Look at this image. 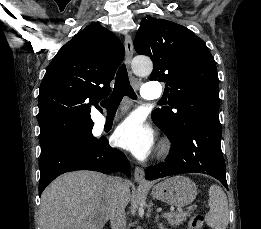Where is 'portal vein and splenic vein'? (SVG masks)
Instances as JSON below:
<instances>
[{"instance_id":"obj_1","label":"portal vein and splenic vein","mask_w":261,"mask_h":229,"mask_svg":"<svg viewBox=\"0 0 261 229\" xmlns=\"http://www.w3.org/2000/svg\"><path fill=\"white\" fill-rule=\"evenodd\" d=\"M164 217H171L170 213H165Z\"/></svg>"}]
</instances>
